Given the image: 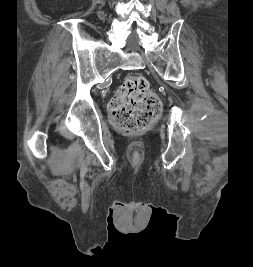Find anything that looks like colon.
I'll return each mask as SVG.
<instances>
[{"label": "colon", "mask_w": 253, "mask_h": 267, "mask_svg": "<svg viewBox=\"0 0 253 267\" xmlns=\"http://www.w3.org/2000/svg\"><path fill=\"white\" fill-rule=\"evenodd\" d=\"M113 125L127 134H138L160 114L161 102L143 76H129L109 103Z\"/></svg>", "instance_id": "5ec220e1"}]
</instances>
